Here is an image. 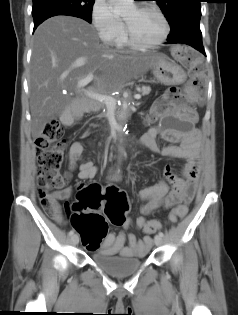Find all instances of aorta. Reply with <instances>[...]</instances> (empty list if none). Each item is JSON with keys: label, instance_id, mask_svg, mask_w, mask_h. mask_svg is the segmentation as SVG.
<instances>
[{"label": "aorta", "instance_id": "1", "mask_svg": "<svg viewBox=\"0 0 238 315\" xmlns=\"http://www.w3.org/2000/svg\"><path fill=\"white\" fill-rule=\"evenodd\" d=\"M113 5V11L122 15L134 8L133 0H109Z\"/></svg>", "mask_w": 238, "mask_h": 315}]
</instances>
